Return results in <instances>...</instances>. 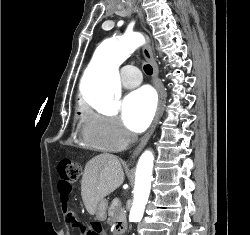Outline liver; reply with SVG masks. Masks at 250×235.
Segmentation results:
<instances>
[{
    "label": "liver",
    "instance_id": "6515ba94",
    "mask_svg": "<svg viewBox=\"0 0 250 235\" xmlns=\"http://www.w3.org/2000/svg\"><path fill=\"white\" fill-rule=\"evenodd\" d=\"M124 172L119 159L112 154H100L87 162L81 181V196L86 210L95 214L100 200L119 188Z\"/></svg>",
    "mask_w": 250,
    "mask_h": 235
}]
</instances>
